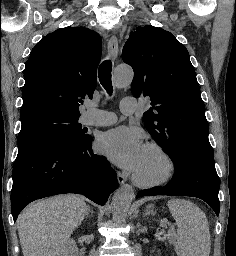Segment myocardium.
<instances>
[{"instance_id":"myocardium-1","label":"myocardium","mask_w":236,"mask_h":256,"mask_svg":"<svg viewBox=\"0 0 236 256\" xmlns=\"http://www.w3.org/2000/svg\"><path fill=\"white\" fill-rule=\"evenodd\" d=\"M115 82H117L116 79ZM122 86H126V84H122ZM146 147L148 149L158 152L162 156L165 163V171L160 177L153 180L144 179L134 172L131 175V179L133 183L138 187L157 188L163 186L167 184L170 180H172V178L174 177L177 169L176 163L170 152L161 144L157 142H149L146 144Z\"/></svg>"}]
</instances>
